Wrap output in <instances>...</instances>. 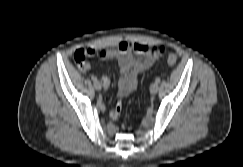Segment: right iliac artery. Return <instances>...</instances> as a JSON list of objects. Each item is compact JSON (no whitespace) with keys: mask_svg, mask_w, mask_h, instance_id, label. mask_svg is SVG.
<instances>
[{"mask_svg":"<svg viewBox=\"0 0 243 167\" xmlns=\"http://www.w3.org/2000/svg\"><path fill=\"white\" fill-rule=\"evenodd\" d=\"M91 79L93 80V82H97V77L92 76Z\"/></svg>","mask_w":243,"mask_h":167,"instance_id":"1","label":"right iliac artery"}]
</instances>
